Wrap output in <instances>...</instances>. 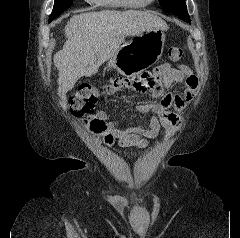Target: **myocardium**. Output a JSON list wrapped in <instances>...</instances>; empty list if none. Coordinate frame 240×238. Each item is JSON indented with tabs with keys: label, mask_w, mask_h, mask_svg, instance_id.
<instances>
[{
	"label": "myocardium",
	"mask_w": 240,
	"mask_h": 238,
	"mask_svg": "<svg viewBox=\"0 0 240 238\" xmlns=\"http://www.w3.org/2000/svg\"><path fill=\"white\" fill-rule=\"evenodd\" d=\"M120 1L126 7H142V6L150 5L156 0H148V1L120 0Z\"/></svg>",
	"instance_id": "1"
}]
</instances>
